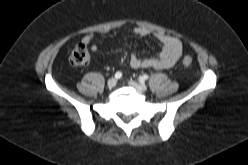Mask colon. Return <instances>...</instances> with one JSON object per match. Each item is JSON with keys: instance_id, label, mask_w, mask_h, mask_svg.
<instances>
[{"instance_id": "5ec220e1", "label": "colon", "mask_w": 248, "mask_h": 165, "mask_svg": "<svg viewBox=\"0 0 248 165\" xmlns=\"http://www.w3.org/2000/svg\"><path fill=\"white\" fill-rule=\"evenodd\" d=\"M69 60L73 66L81 67L87 65L90 60V55L87 46L82 43L77 44L73 48ZM182 64L185 67L190 66L192 64V58L189 56L184 57L182 59Z\"/></svg>"}]
</instances>
